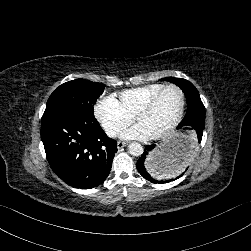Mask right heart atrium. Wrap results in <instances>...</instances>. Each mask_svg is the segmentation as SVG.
Here are the masks:
<instances>
[{
    "label": "right heart atrium",
    "mask_w": 251,
    "mask_h": 251,
    "mask_svg": "<svg viewBox=\"0 0 251 251\" xmlns=\"http://www.w3.org/2000/svg\"><path fill=\"white\" fill-rule=\"evenodd\" d=\"M93 113L111 137L118 136L121 130L133 119L132 113L113 93L101 95L94 103Z\"/></svg>",
    "instance_id": "obj_1"
}]
</instances>
